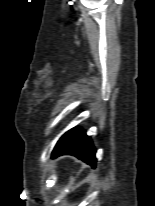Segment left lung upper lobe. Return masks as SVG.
I'll return each instance as SVG.
<instances>
[{"label": "left lung upper lobe", "mask_w": 155, "mask_h": 206, "mask_svg": "<svg viewBox=\"0 0 155 206\" xmlns=\"http://www.w3.org/2000/svg\"><path fill=\"white\" fill-rule=\"evenodd\" d=\"M68 132H69V131H68ZM68 132H66L64 135H66ZM64 135H63V136H64ZM63 136H62V137H63Z\"/></svg>", "instance_id": "5c2ea615"}]
</instances>
